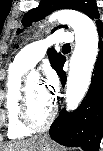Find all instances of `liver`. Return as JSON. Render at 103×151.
<instances>
[{"instance_id":"obj_1","label":"liver","mask_w":103,"mask_h":151,"mask_svg":"<svg viewBox=\"0 0 103 151\" xmlns=\"http://www.w3.org/2000/svg\"><path fill=\"white\" fill-rule=\"evenodd\" d=\"M38 137L34 136L26 140H21L11 143L6 146L2 151H34Z\"/></svg>"}]
</instances>
